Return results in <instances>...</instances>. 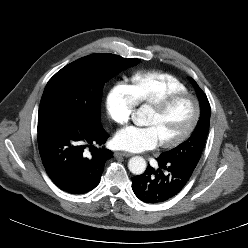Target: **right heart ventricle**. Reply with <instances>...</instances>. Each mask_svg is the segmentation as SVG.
<instances>
[{
	"label": "right heart ventricle",
	"mask_w": 248,
	"mask_h": 248,
	"mask_svg": "<svg viewBox=\"0 0 248 248\" xmlns=\"http://www.w3.org/2000/svg\"><path fill=\"white\" fill-rule=\"evenodd\" d=\"M136 104L151 105L165 95L187 92V86L169 73L149 72L134 74L127 85Z\"/></svg>",
	"instance_id": "1"
}]
</instances>
